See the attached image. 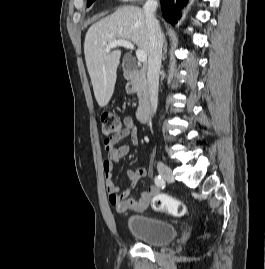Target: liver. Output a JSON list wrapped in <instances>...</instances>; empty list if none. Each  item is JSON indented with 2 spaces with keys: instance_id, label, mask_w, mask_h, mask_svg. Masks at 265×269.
<instances>
[{
  "instance_id": "liver-1",
  "label": "liver",
  "mask_w": 265,
  "mask_h": 269,
  "mask_svg": "<svg viewBox=\"0 0 265 269\" xmlns=\"http://www.w3.org/2000/svg\"><path fill=\"white\" fill-rule=\"evenodd\" d=\"M117 39L133 42L149 55V32L142 9L124 6L94 23L86 33L85 60L94 95L100 107L108 104L114 92L121 51L106 53L105 47Z\"/></svg>"
}]
</instances>
